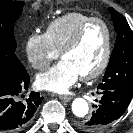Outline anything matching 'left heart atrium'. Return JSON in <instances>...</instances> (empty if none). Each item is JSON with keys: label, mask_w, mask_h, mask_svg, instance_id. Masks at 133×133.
I'll use <instances>...</instances> for the list:
<instances>
[{"label": "left heart atrium", "mask_w": 133, "mask_h": 133, "mask_svg": "<svg viewBox=\"0 0 133 133\" xmlns=\"http://www.w3.org/2000/svg\"><path fill=\"white\" fill-rule=\"evenodd\" d=\"M81 77L78 70L68 61L62 59L48 71L38 74L36 85L46 91L53 93H65Z\"/></svg>", "instance_id": "left-heart-atrium-1"}]
</instances>
